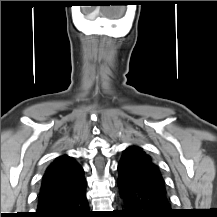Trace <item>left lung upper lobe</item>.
I'll return each mask as SVG.
<instances>
[{"mask_svg": "<svg viewBox=\"0 0 217 217\" xmlns=\"http://www.w3.org/2000/svg\"><path fill=\"white\" fill-rule=\"evenodd\" d=\"M118 170L133 184L166 192L159 167L139 147L130 146L124 151Z\"/></svg>", "mask_w": 217, "mask_h": 217, "instance_id": "obj_1", "label": "left lung upper lobe"}]
</instances>
